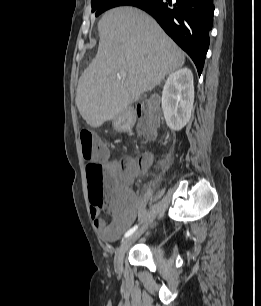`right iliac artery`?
I'll return each mask as SVG.
<instances>
[{
  "label": "right iliac artery",
  "mask_w": 261,
  "mask_h": 306,
  "mask_svg": "<svg viewBox=\"0 0 261 306\" xmlns=\"http://www.w3.org/2000/svg\"><path fill=\"white\" fill-rule=\"evenodd\" d=\"M138 228V225H135L134 227L130 228L124 235L125 238L132 235Z\"/></svg>",
  "instance_id": "obj_1"
}]
</instances>
